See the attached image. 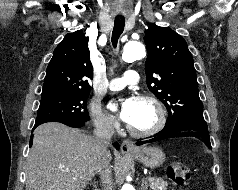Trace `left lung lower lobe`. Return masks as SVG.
<instances>
[{
    "instance_id": "obj_1",
    "label": "left lung lower lobe",
    "mask_w": 238,
    "mask_h": 190,
    "mask_svg": "<svg viewBox=\"0 0 238 190\" xmlns=\"http://www.w3.org/2000/svg\"><path fill=\"white\" fill-rule=\"evenodd\" d=\"M180 136L196 137L211 148L209 132L203 116H188L180 118L173 123L165 125V127L159 131L154 138L147 141H138L136 145H143Z\"/></svg>"
}]
</instances>
